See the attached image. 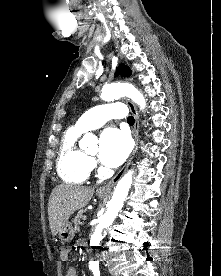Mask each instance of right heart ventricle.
I'll use <instances>...</instances> for the list:
<instances>
[{
  "label": "right heart ventricle",
  "mask_w": 221,
  "mask_h": 276,
  "mask_svg": "<svg viewBox=\"0 0 221 276\" xmlns=\"http://www.w3.org/2000/svg\"><path fill=\"white\" fill-rule=\"evenodd\" d=\"M81 133L76 127L70 128L60 143L57 171L61 179L68 183L81 184L91 172L90 159L77 144Z\"/></svg>",
  "instance_id": "1"
}]
</instances>
